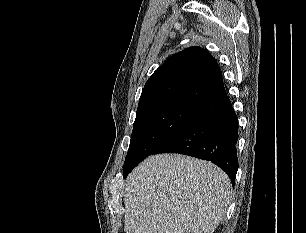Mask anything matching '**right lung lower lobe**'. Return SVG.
<instances>
[{
    "mask_svg": "<svg viewBox=\"0 0 306 233\" xmlns=\"http://www.w3.org/2000/svg\"><path fill=\"white\" fill-rule=\"evenodd\" d=\"M237 139L238 118L225 95L203 107L152 154L173 152L211 161L234 184L238 170Z\"/></svg>",
    "mask_w": 306,
    "mask_h": 233,
    "instance_id": "1",
    "label": "right lung lower lobe"
}]
</instances>
